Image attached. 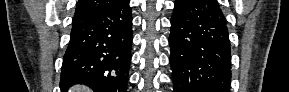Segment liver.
Instances as JSON below:
<instances>
[{"mask_svg":"<svg viewBox=\"0 0 289 92\" xmlns=\"http://www.w3.org/2000/svg\"><path fill=\"white\" fill-rule=\"evenodd\" d=\"M72 92H88L89 89L87 87L81 86V85H76L71 88Z\"/></svg>","mask_w":289,"mask_h":92,"instance_id":"6515ba94","label":"liver"}]
</instances>
